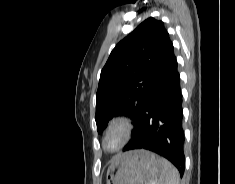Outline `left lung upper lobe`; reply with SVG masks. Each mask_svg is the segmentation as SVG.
<instances>
[{
  "label": "left lung upper lobe",
  "mask_w": 235,
  "mask_h": 184,
  "mask_svg": "<svg viewBox=\"0 0 235 184\" xmlns=\"http://www.w3.org/2000/svg\"><path fill=\"white\" fill-rule=\"evenodd\" d=\"M168 37L164 23L150 17L112 50L96 93L98 133L119 115L132 118L136 126Z\"/></svg>",
  "instance_id": "obj_1"
}]
</instances>
